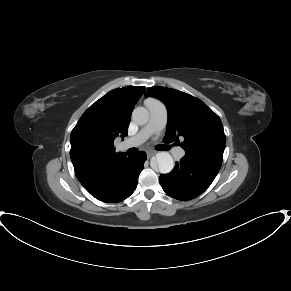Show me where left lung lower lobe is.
I'll list each match as a JSON object with an SVG mask.
<instances>
[{"mask_svg":"<svg viewBox=\"0 0 291 291\" xmlns=\"http://www.w3.org/2000/svg\"><path fill=\"white\" fill-rule=\"evenodd\" d=\"M220 167L219 164L184 156L172 172L160 175L159 182L169 196L190 200L211 185Z\"/></svg>","mask_w":291,"mask_h":291,"instance_id":"0a47b994","label":"left lung lower lobe"}]
</instances>
